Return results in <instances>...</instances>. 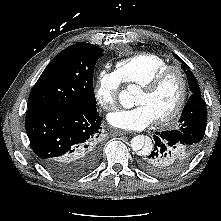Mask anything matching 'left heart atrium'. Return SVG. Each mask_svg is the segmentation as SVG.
<instances>
[{"label":"left heart atrium","instance_id":"obj_1","mask_svg":"<svg viewBox=\"0 0 221 221\" xmlns=\"http://www.w3.org/2000/svg\"><path fill=\"white\" fill-rule=\"evenodd\" d=\"M108 122L116 128L124 130H142L149 126L155 116L145 105H138L132 109H121L107 116Z\"/></svg>","mask_w":221,"mask_h":221}]
</instances>
